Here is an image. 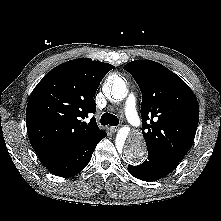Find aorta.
I'll list each match as a JSON object with an SVG mask.
<instances>
[{"label":"aorta","mask_w":221,"mask_h":221,"mask_svg":"<svg viewBox=\"0 0 221 221\" xmlns=\"http://www.w3.org/2000/svg\"><path fill=\"white\" fill-rule=\"evenodd\" d=\"M127 86L122 78L112 77L104 86L108 99L122 101L127 96ZM116 146L122 150L125 157L133 162H140L146 156V144L142 133L121 131L116 139Z\"/></svg>","instance_id":"aorta-1"}]
</instances>
